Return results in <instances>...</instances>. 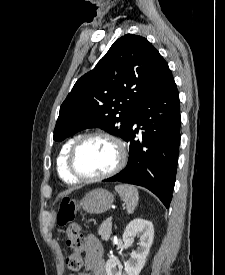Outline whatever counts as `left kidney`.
Returning a JSON list of instances; mask_svg holds the SVG:
<instances>
[{
	"mask_svg": "<svg viewBox=\"0 0 225 275\" xmlns=\"http://www.w3.org/2000/svg\"><path fill=\"white\" fill-rule=\"evenodd\" d=\"M135 235L140 238L139 247L131 252L130 260L125 263V271L123 273L120 270L118 271L117 266L120 267L119 260L117 258H110L106 263L107 275H139L145 265L146 257L153 243L154 227L152 222L141 218L131 221L123 233L124 243L128 245L132 244Z\"/></svg>",
	"mask_w": 225,
	"mask_h": 275,
	"instance_id": "5707ae66",
	"label": "left kidney"
}]
</instances>
